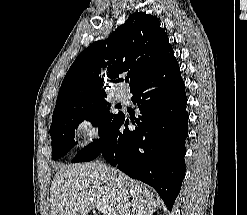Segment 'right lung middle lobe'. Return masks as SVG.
<instances>
[{"mask_svg": "<svg viewBox=\"0 0 247 215\" xmlns=\"http://www.w3.org/2000/svg\"><path fill=\"white\" fill-rule=\"evenodd\" d=\"M101 95L60 109L53 114L50 126L52 138V158L57 160L67 154L76 145L74 129L84 119L91 121L102 134L110 124L121 114L110 112V105Z\"/></svg>", "mask_w": 247, "mask_h": 215, "instance_id": "dd1d6c3e", "label": "right lung middle lobe"}]
</instances>
